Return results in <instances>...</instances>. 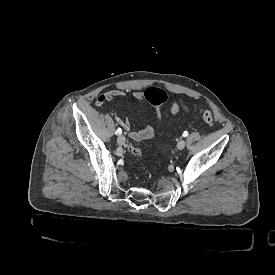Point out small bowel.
Instances as JSON below:
<instances>
[{
    "instance_id": "1",
    "label": "small bowel",
    "mask_w": 275,
    "mask_h": 275,
    "mask_svg": "<svg viewBox=\"0 0 275 275\" xmlns=\"http://www.w3.org/2000/svg\"><path fill=\"white\" fill-rule=\"evenodd\" d=\"M125 95H126L125 91L121 90V89L108 90V91L100 94L96 98L95 106L97 108H104L108 102H110L116 98H122ZM132 96L135 100H137L139 102H143L145 100L144 94L138 90L134 91L132 93ZM170 109H171L172 114H174V115L178 114L181 111L186 112V113L189 112L187 105L182 100L172 102ZM115 118H116V121L118 122V124L125 131H127L129 133V137L136 142L147 139L148 137H150V135L152 133V128L149 125L146 126L144 129L137 131V130H133L131 128L130 121L127 118L122 117L118 114H115Z\"/></svg>"
}]
</instances>
